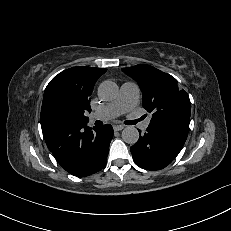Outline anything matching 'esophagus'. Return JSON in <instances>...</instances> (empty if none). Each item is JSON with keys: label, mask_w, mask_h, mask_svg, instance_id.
<instances>
[{"label": "esophagus", "mask_w": 231, "mask_h": 231, "mask_svg": "<svg viewBox=\"0 0 231 231\" xmlns=\"http://www.w3.org/2000/svg\"><path fill=\"white\" fill-rule=\"evenodd\" d=\"M114 131H121L124 129V125H114L113 126Z\"/></svg>", "instance_id": "34e87169"}]
</instances>
